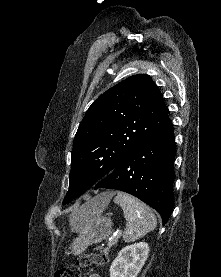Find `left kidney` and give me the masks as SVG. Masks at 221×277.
<instances>
[{"label": "left kidney", "instance_id": "obj_1", "mask_svg": "<svg viewBox=\"0 0 221 277\" xmlns=\"http://www.w3.org/2000/svg\"><path fill=\"white\" fill-rule=\"evenodd\" d=\"M150 247L138 242L124 247L110 266V277H137L148 258Z\"/></svg>", "mask_w": 221, "mask_h": 277}]
</instances>
